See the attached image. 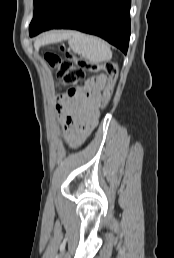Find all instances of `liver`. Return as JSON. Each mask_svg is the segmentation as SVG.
Returning <instances> with one entry per match:
<instances>
[{"label": "liver", "mask_w": 174, "mask_h": 258, "mask_svg": "<svg viewBox=\"0 0 174 258\" xmlns=\"http://www.w3.org/2000/svg\"><path fill=\"white\" fill-rule=\"evenodd\" d=\"M61 34H52V35H48L46 38L51 39V38H61Z\"/></svg>", "instance_id": "obj_1"}]
</instances>
